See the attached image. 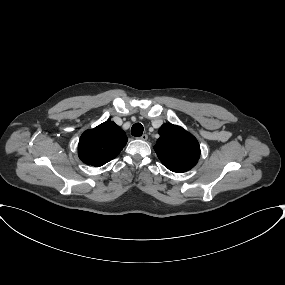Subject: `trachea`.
I'll return each mask as SVG.
<instances>
[{
  "label": "trachea",
  "mask_w": 285,
  "mask_h": 285,
  "mask_svg": "<svg viewBox=\"0 0 285 285\" xmlns=\"http://www.w3.org/2000/svg\"><path fill=\"white\" fill-rule=\"evenodd\" d=\"M143 130L141 123H135L131 128V134L135 137H140L143 134Z\"/></svg>",
  "instance_id": "1"
}]
</instances>
